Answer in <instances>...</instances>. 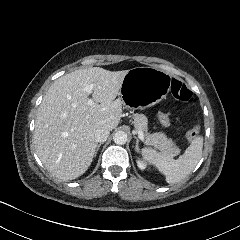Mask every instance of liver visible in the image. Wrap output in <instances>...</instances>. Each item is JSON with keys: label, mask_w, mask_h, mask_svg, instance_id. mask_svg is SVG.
I'll return each mask as SVG.
<instances>
[{"label": "liver", "mask_w": 240, "mask_h": 240, "mask_svg": "<svg viewBox=\"0 0 240 240\" xmlns=\"http://www.w3.org/2000/svg\"><path fill=\"white\" fill-rule=\"evenodd\" d=\"M128 70L100 67L78 69L59 77L39 106L34 144L36 154L56 178L68 181L81 176L91 165L98 129L116 128L122 116L117 98ZM94 84L92 98L84 91Z\"/></svg>", "instance_id": "6515ba94"}]
</instances>
